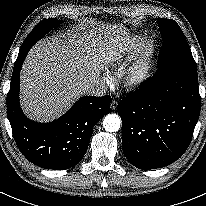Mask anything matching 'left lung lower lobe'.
Instances as JSON below:
<instances>
[{
    "label": "left lung lower lobe",
    "mask_w": 206,
    "mask_h": 206,
    "mask_svg": "<svg viewBox=\"0 0 206 206\" xmlns=\"http://www.w3.org/2000/svg\"><path fill=\"white\" fill-rule=\"evenodd\" d=\"M200 106L197 75L155 73L118 104L126 158L144 170L176 161L191 142Z\"/></svg>",
    "instance_id": "0a47b994"
}]
</instances>
